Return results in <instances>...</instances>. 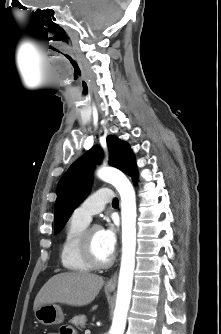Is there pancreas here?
Returning a JSON list of instances; mask_svg holds the SVG:
<instances>
[{
	"label": "pancreas",
	"instance_id": "pancreas-1",
	"mask_svg": "<svg viewBox=\"0 0 221 334\" xmlns=\"http://www.w3.org/2000/svg\"><path fill=\"white\" fill-rule=\"evenodd\" d=\"M70 322L75 325L78 329L85 327L86 325V316L85 315H78L73 317Z\"/></svg>",
	"mask_w": 221,
	"mask_h": 334
}]
</instances>
